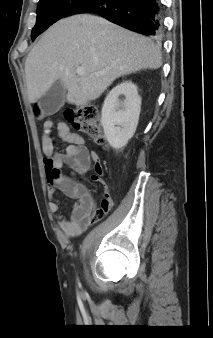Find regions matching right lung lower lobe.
<instances>
[{
    "label": "right lung lower lobe",
    "mask_w": 213,
    "mask_h": 338,
    "mask_svg": "<svg viewBox=\"0 0 213 338\" xmlns=\"http://www.w3.org/2000/svg\"><path fill=\"white\" fill-rule=\"evenodd\" d=\"M76 13H94L129 30L158 38L162 34L160 0H92Z\"/></svg>",
    "instance_id": "1"
}]
</instances>
